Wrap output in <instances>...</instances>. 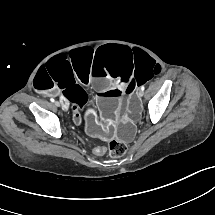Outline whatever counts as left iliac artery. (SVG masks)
<instances>
[{
  "label": "left iliac artery",
  "mask_w": 215,
  "mask_h": 215,
  "mask_svg": "<svg viewBox=\"0 0 215 215\" xmlns=\"http://www.w3.org/2000/svg\"><path fill=\"white\" fill-rule=\"evenodd\" d=\"M141 89L144 91L145 87H144V86H141Z\"/></svg>",
  "instance_id": "left-iliac-artery-1"
}]
</instances>
